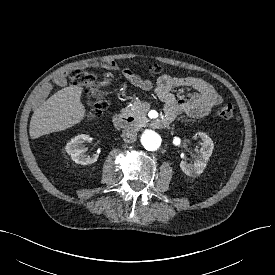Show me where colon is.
Listing matches in <instances>:
<instances>
[{
	"instance_id": "obj_1",
	"label": "colon",
	"mask_w": 275,
	"mask_h": 275,
	"mask_svg": "<svg viewBox=\"0 0 275 275\" xmlns=\"http://www.w3.org/2000/svg\"><path fill=\"white\" fill-rule=\"evenodd\" d=\"M102 66L106 68H114V62L104 61ZM149 71L152 74H159L161 72V67L157 64L149 66ZM70 81L77 86L83 87L87 95V114L86 118L88 120H93L107 109L108 103L105 97L99 93L94 87V76L87 73L81 68H75L71 70L68 74ZM218 115L224 120L232 119L234 116V108L232 104L227 103L218 109Z\"/></svg>"
}]
</instances>
